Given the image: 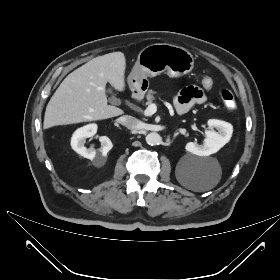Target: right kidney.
<instances>
[{
  "instance_id": "ca27d5eb",
  "label": "right kidney",
  "mask_w": 280,
  "mask_h": 280,
  "mask_svg": "<svg viewBox=\"0 0 280 280\" xmlns=\"http://www.w3.org/2000/svg\"><path fill=\"white\" fill-rule=\"evenodd\" d=\"M97 132V124L92 123L77 129L71 138L72 149L80 154L81 156L95 160L97 165H102L105 163V158L107 153L112 149L113 144L107 136L99 137L101 142V147L97 150L94 148H86L84 146L85 139L93 137Z\"/></svg>"
}]
</instances>
